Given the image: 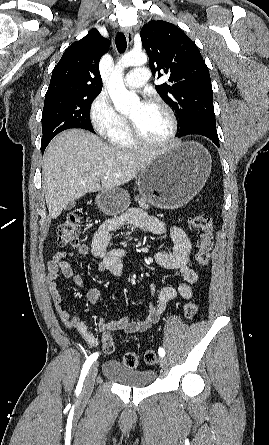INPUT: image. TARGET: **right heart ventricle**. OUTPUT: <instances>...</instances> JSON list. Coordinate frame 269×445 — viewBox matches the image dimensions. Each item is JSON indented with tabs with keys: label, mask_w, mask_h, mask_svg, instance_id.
Returning <instances> with one entry per match:
<instances>
[{
	"label": "right heart ventricle",
	"mask_w": 269,
	"mask_h": 445,
	"mask_svg": "<svg viewBox=\"0 0 269 445\" xmlns=\"http://www.w3.org/2000/svg\"><path fill=\"white\" fill-rule=\"evenodd\" d=\"M105 134L109 142L117 147L133 148L137 145L131 135L125 116L120 115L118 122Z\"/></svg>",
	"instance_id": "obj_1"
}]
</instances>
